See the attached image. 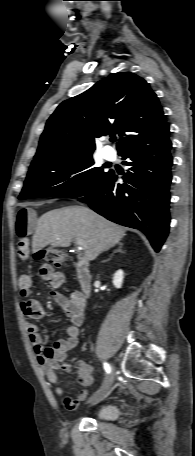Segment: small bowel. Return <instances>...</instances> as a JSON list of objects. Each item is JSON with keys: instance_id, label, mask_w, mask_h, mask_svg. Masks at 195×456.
I'll use <instances>...</instances> for the list:
<instances>
[{"instance_id": "small-bowel-1", "label": "small bowel", "mask_w": 195, "mask_h": 456, "mask_svg": "<svg viewBox=\"0 0 195 456\" xmlns=\"http://www.w3.org/2000/svg\"><path fill=\"white\" fill-rule=\"evenodd\" d=\"M34 221L33 212L28 209H21L16 216L15 233L19 238L18 254L21 259L29 257V236ZM40 278L47 282L54 291L53 299L60 306L64 315L69 319L70 325L66 329L67 337L56 341L52 346L45 347L46 337L40 334L35 320L41 319L44 310L39 301L29 298L32 280L29 275H22L18 280V292L24 298L21 301V311L26 318V330L30 343L37 355L38 363L43 368L48 382L53 386L54 391L60 397L67 409H75L79 403L87 398V391L82 390L76 397L67 396L60 386L56 370L64 362L68 353L78 344L79 328L84 322L85 298L78 291L66 295L59 291L65 283V275L55 271L50 265L43 264L39 268ZM78 382L82 386H89L93 381L92 367L85 361L79 360L76 363Z\"/></svg>"}]
</instances>
